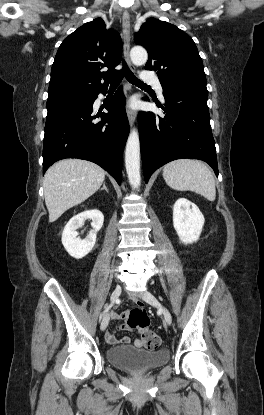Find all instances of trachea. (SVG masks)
<instances>
[{"mask_svg": "<svg viewBox=\"0 0 264 415\" xmlns=\"http://www.w3.org/2000/svg\"><path fill=\"white\" fill-rule=\"evenodd\" d=\"M122 69L120 73L116 76L115 79L111 81L110 87H116L121 82L122 78L125 77L130 83L137 85V86H143V87H149L147 84L143 83L141 80H139L129 69L126 62L123 60L122 62Z\"/></svg>", "mask_w": 264, "mask_h": 415, "instance_id": "trachea-1", "label": "trachea"}]
</instances>
